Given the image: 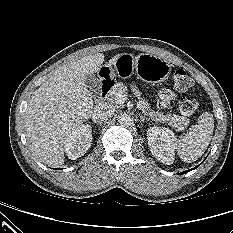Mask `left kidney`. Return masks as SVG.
<instances>
[{
	"label": "left kidney",
	"instance_id": "obj_1",
	"mask_svg": "<svg viewBox=\"0 0 233 233\" xmlns=\"http://www.w3.org/2000/svg\"><path fill=\"white\" fill-rule=\"evenodd\" d=\"M147 139L152 155L160 162L171 165L176 141L173 132L165 127H151L147 131Z\"/></svg>",
	"mask_w": 233,
	"mask_h": 233
}]
</instances>
